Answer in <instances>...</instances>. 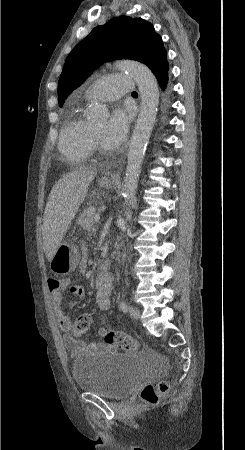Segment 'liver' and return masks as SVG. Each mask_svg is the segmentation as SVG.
Wrapping results in <instances>:
<instances>
[{"mask_svg": "<svg viewBox=\"0 0 245 450\" xmlns=\"http://www.w3.org/2000/svg\"><path fill=\"white\" fill-rule=\"evenodd\" d=\"M95 175L96 171L92 168H80L63 176L51 189L42 225L43 246L49 262L84 201Z\"/></svg>", "mask_w": 245, "mask_h": 450, "instance_id": "liver-1", "label": "liver"}]
</instances>
